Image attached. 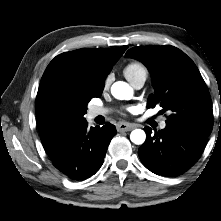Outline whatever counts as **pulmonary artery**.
Returning <instances> with one entry per match:
<instances>
[{"label": "pulmonary artery", "instance_id": "pulmonary-artery-1", "mask_svg": "<svg viewBox=\"0 0 221 221\" xmlns=\"http://www.w3.org/2000/svg\"><path fill=\"white\" fill-rule=\"evenodd\" d=\"M146 81V74L140 75L134 79H132L130 81L131 85L135 88V89H141L144 85ZM108 113V109L103 108V107H93L90 112L89 115L91 118H94L96 116L99 115H105ZM166 123L165 122H161L160 127L163 129L165 128Z\"/></svg>", "mask_w": 221, "mask_h": 221}]
</instances>
